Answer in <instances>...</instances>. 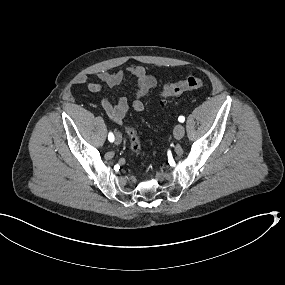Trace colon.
Masks as SVG:
<instances>
[{"label":"colon","mask_w":285,"mask_h":285,"mask_svg":"<svg viewBox=\"0 0 285 285\" xmlns=\"http://www.w3.org/2000/svg\"><path fill=\"white\" fill-rule=\"evenodd\" d=\"M204 81L199 77H188L181 81L175 83H169L164 85L159 90V96L162 99L178 97L184 92L195 90L203 87ZM127 134L129 137L130 148L135 154H139L142 151V142L137 133V131L133 127L127 128Z\"/></svg>","instance_id":"1"}]
</instances>
